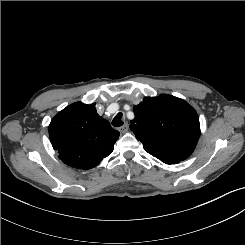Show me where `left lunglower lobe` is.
<instances>
[{
  "label": "left lung lower lobe",
  "instance_id": "0a47b994",
  "mask_svg": "<svg viewBox=\"0 0 245 245\" xmlns=\"http://www.w3.org/2000/svg\"><path fill=\"white\" fill-rule=\"evenodd\" d=\"M148 153H150L151 155H153L154 157L158 158L159 160H161L162 162H164L165 164H177L180 161L184 160L181 159L179 157H175V156H171V155H166L160 152H154V151H148L146 150Z\"/></svg>",
  "mask_w": 245,
  "mask_h": 245
}]
</instances>
